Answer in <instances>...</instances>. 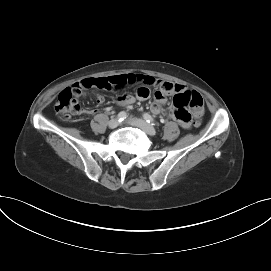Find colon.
<instances>
[{"instance_id":"colon-1","label":"colon","mask_w":271,"mask_h":271,"mask_svg":"<svg viewBox=\"0 0 271 271\" xmlns=\"http://www.w3.org/2000/svg\"><path fill=\"white\" fill-rule=\"evenodd\" d=\"M91 87H96L95 82H81L74 84L72 87L65 88L60 92L55 102L56 112L66 118L81 113L82 108L75 97L81 95L85 89ZM174 104L180 108L187 105L190 106L197 117L202 114L204 108L203 97L195 91L183 95H176L174 97ZM199 124L200 121L197 119L195 125L198 126Z\"/></svg>"}]
</instances>
